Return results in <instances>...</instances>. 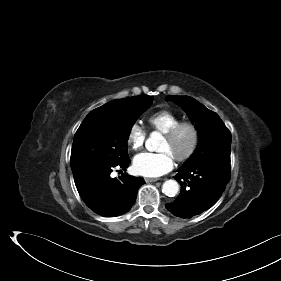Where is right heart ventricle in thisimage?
Returning <instances> with one entry per match:
<instances>
[{
  "mask_svg": "<svg viewBox=\"0 0 281 281\" xmlns=\"http://www.w3.org/2000/svg\"><path fill=\"white\" fill-rule=\"evenodd\" d=\"M147 121L153 130L164 134L179 123L181 118L171 111L160 110L150 115Z\"/></svg>",
  "mask_w": 281,
  "mask_h": 281,
  "instance_id": "e07e8e85",
  "label": "right heart ventricle"
}]
</instances>
